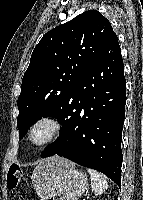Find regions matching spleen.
Instances as JSON below:
<instances>
[{"mask_svg": "<svg viewBox=\"0 0 143 200\" xmlns=\"http://www.w3.org/2000/svg\"><path fill=\"white\" fill-rule=\"evenodd\" d=\"M91 178V187L95 195H101L108 188L106 177L94 169H88Z\"/></svg>", "mask_w": 143, "mask_h": 200, "instance_id": "obj_1", "label": "spleen"}]
</instances>
